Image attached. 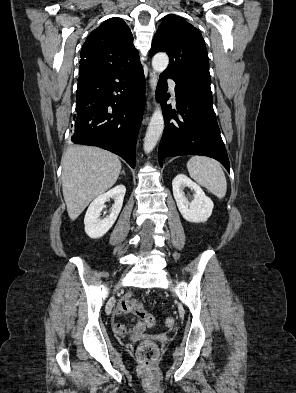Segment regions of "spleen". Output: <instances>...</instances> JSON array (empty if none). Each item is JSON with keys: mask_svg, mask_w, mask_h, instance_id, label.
Here are the masks:
<instances>
[{"mask_svg": "<svg viewBox=\"0 0 296 393\" xmlns=\"http://www.w3.org/2000/svg\"><path fill=\"white\" fill-rule=\"evenodd\" d=\"M189 175L212 194L222 199L226 195L227 181L221 165L209 157L193 156L187 162Z\"/></svg>", "mask_w": 296, "mask_h": 393, "instance_id": "3e777b00", "label": "spleen"}]
</instances>
